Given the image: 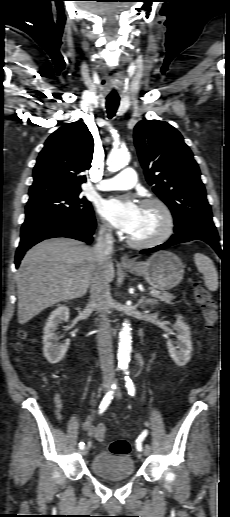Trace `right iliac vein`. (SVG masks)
Masks as SVG:
<instances>
[{"mask_svg":"<svg viewBox=\"0 0 230 517\" xmlns=\"http://www.w3.org/2000/svg\"><path fill=\"white\" fill-rule=\"evenodd\" d=\"M108 390H109V385L107 384V385L105 386V391H108ZM88 452H89V448H88V446H85V447L80 451L81 455H83V456L87 455V454H88Z\"/></svg>","mask_w":230,"mask_h":517,"instance_id":"obj_1","label":"right iliac vein"}]
</instances>
